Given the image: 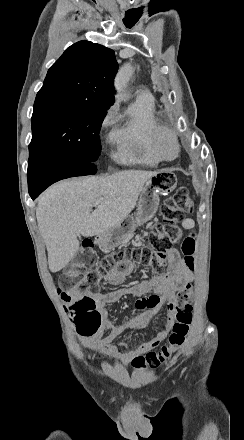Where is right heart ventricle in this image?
<instances>
[{
  "label": "right heart ventricle",
  "instance_id": "obj_1",
  "mask_svg": "<svg viewBox=\"0 0 244 440\" xmlns=\"http://www.w3.org/2000/svg\"><path fill=\"white\" fill-rule=\"evenodd\" d=\"M116 125L108 135L111 144L129 141V148L123 147L118 153L117 158L126 163L158 161L152 149L156 142L153 138L155 134L163 129L155 118V104L153 102L133 101L129 107L116 117ZM121 134V135H120ZM157 137V136H156ZM144 150L142 155L136 153L140 147ZM157 148V147H156Z\"/></svg>",
  "mask_w": 244,
  "mask_h": 440
}]
</instances>
